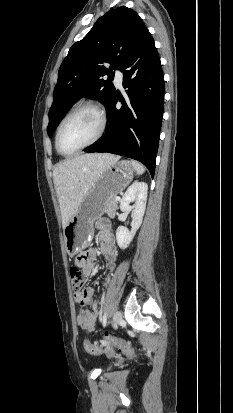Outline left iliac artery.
<instances>
[{
  "instance_id": "obj_1",
  "label": "left iliac artery",
  "mask_w": 233,
  "mask_h": 413,
  "mask_svg": "<svg viewBox=\"0 0 233 413\" xmlns=\"http://www.w3.org/2000/svg\"><path fill=\"white\" fill-rule=\"evenodd\" d=\"M101 320H102L103 326H106V323H107V315H106V313H104V315H103V317L101 318Z\"/></svg>"
}]
</instances>
